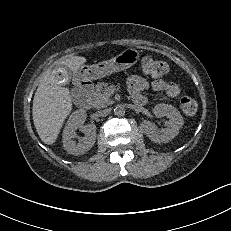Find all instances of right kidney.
Segmentation results:
<instances>
[{"mask_svg": "<svg viewBox=\"0 0 231 231\" xmlns=\"http://www.w3.org/2000/svg\"><path fill=\"white\" fill-rule=\"evenodd\" d=\"M84 111L73 112L63 130V147L69 154L83 155L90 150L96 141V126L94 124L84 125L86 120ZM80 129L85 135L76 143L73 139L76 137V130Z\"/></svg>", "mask_w": 231, "mask_h": 231, "instance_id": "ca27d5eb", "label": "right kidney"}]
</instances>
